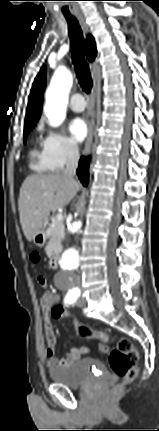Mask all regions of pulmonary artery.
<instances>
[{"instance_id":"1","label":"pulmonary artery","mask_w":159,"mask_h":431,"mask_svg":"<svg viewBox=\"0 0 159 431\" xmlns=\"http://www.w3.org/2000/svg\"><path fill=\"white\" fill-rule=\"evenodd\" d=\"M69 106L74 112H82L85 109V101L80 93H74L71 96Z\"/></svg>"}]
</instances>
